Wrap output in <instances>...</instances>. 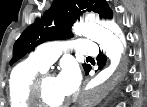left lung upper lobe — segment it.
<instances>
[{"mask_svg":"<svg viewBox=\"0 0 147 107\" xmlns=\"http://www.w3.org/2000/svg\"><path fill=\"white\" fill-rule=\"evenodd\" d=\"M86 11L98 13L100 18L112 19L113 11L106 0H54L44 16L23 31L13 47L12 65L41 43L73 37L74 21ZM89 64H83L86 71Z\"/></svg>","mask_w":147,"mask_h":107,"instance_id":"left-lung-upper-lobe-1","label":"left lung upper lobe"}]
</instances>
